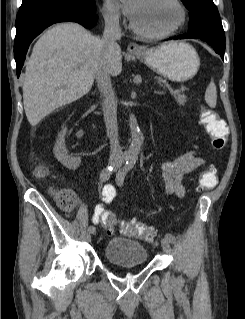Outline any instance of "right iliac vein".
<instances>
[{
    "instance_id": "1",
    "label": "right iliac vein",
    "mask_w": 245,
    "mask_h": 319,
    "mask_svg": "<svg viewBox=\"0 0 245 319\" xmlns=\"http://www.w3.org/2000/svg\"><path fill=\"white\" fill-rule=\"evenodd\" d=\"M86 239H87L88 241L91 240V232H88V233L86 234Z\"/></svg>"
}]
</instances>
